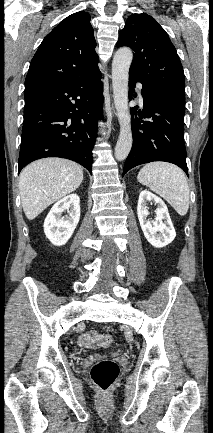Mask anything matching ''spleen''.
<instances>
[{"instance_id": "spleen-1", "label": "spleen", "mask_w": 213, "mask_h": 433, "mask_svg": "<svg viewBox=\"0 0 213 433\" xmlns=\"http://www.w3.org/2000/svg\"><path fill=\"white\" fill-rule=\"evenodd\" d=\"M137 179L163 197L179 215H186L189 209V186L180 168L170 163H149L140 170Z\"/></svg>"}]
</instances>
